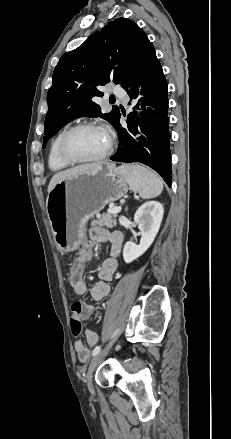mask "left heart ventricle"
<instances>
[{"label":"left heart ventricle","instance_id":"obj_1","mask_svg":"<svg viewBox=\"0 0 231 439\" xmlns=\"http://www.w3.org/2000/svg\"><path fill=\"white\" fill-rule=\"evenodd\" d=\"M108 135L101 129H83L74 133L68 142L70 153L76 158H93L104 152Z\"/></svg>","mask_w":231,"mask_h":439}]
</instances>
